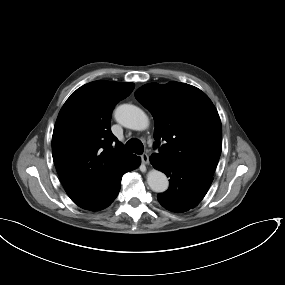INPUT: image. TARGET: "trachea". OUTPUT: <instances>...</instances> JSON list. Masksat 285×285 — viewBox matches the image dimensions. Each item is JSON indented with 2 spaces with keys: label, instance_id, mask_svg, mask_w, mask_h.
I'll list each match as a JSON object with an SVG mask.
<instances>
[{
  "label": "trachea",
  "instance_id": "trachea-1",
  "mask_svg": "<svg viewBox=\"0 0 285 285\" xmlns=\"http://www.w3.org/2000/svg\"><path fill=\"white\" fill-rule=\"evenodd\" d=\"M143 144L140 140L132 138L130 139L126 145L124 146V151L129 153H136V154H142L143 153Z\"/></svg>",
  "mask_w": 285,
  "mask_h": 285
}]
</instances>
